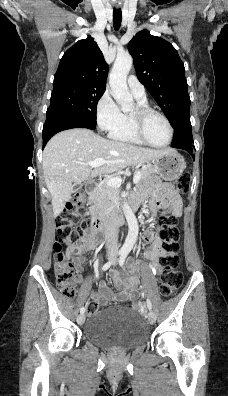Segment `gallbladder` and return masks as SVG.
<instances>
[{
    "label": "gallbladder",
    "mask_w": 228,
    "mask_h": 396,
    "mask_svg": "<svg viewBox=\"0 0 228 396\" xmlns=\"http://www.w3.org/2000/svg\"><path fill=\"white\" fill-rule=\"evenodd\" d=\"M82 187L80 184H75V190H79Z\"/></svg>",
    "instance_id": "obj_1"
}]
</instances>
